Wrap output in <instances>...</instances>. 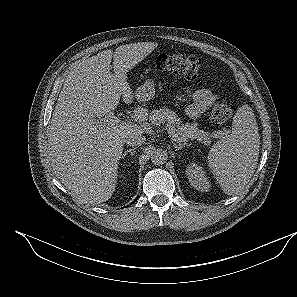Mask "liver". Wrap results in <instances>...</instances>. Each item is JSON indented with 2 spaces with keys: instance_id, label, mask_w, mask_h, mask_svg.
Returning <instances> with one entry per match:
<instances>
[{
  "instance_id": "6515ba94",
  "label": "liver",
  "mask_w": 297,
  "mask_h": 297,
  "mask_svg": "<svg viewBox=\"0 0 297 297\" xmlns=\"http://www.w3.org/2000/svg\"><path fill=\"white\" fill-rule=\"evenodd\" d=\"M157 45L138 42L104 50L79 63L65 79L51 119L48 152L56 176L80 203L100 204L115 191L125 137L141 131L132 122L113 125L102 119L121 97L126 104L133 102L127 72ZM145 116L146 110L137 108L133 118L144 121Z\"/></svg>"
}]
</instances>
